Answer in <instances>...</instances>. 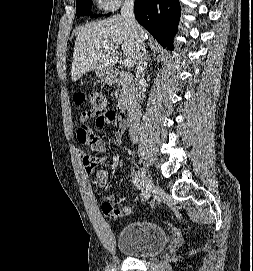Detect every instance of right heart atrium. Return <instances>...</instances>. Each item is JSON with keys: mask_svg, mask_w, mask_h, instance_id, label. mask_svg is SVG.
Returning a JSON list of instances; mask_svg holds the SVG:
<instances>
[{"mask_svg": "<svg viewBox=\"0 0 253 271\" xmlns=\"http://www.w3.org/2000/svg\"><path fill=\"white\" fill-rule=\"evenodd\" d=\"M99 5L105 10H114L121 5L124 0H97Z\"/></svg>", "mask_w": 253, "mask_h": 271, "instance_id": "1", "label": "right heart atrium"}]
</instances>
